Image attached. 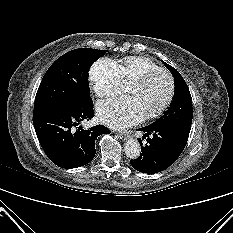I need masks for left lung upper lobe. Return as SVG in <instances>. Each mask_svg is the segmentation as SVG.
I'll list each match as a JSON object with an SVG mask.
<instances>
[{
  "label": "left lung upper lobe",
  "instance_id": "1",
  "mask_svg": "<svg viewBox=\"0 0 233 233\" xmlns=\"http://www.w3.org/2000/svg\"><path fill=\"white\" fill-rule=\"evenodd\" d=\"M164 65L175 78V96L164 115L150 125L160 124L170 127L180 135L188 138L193 113L191 94L181 74L167 63H164Z\"/></svg>",
  "mask_w": 233,
  "mask_h": 233
}]
</instances>
